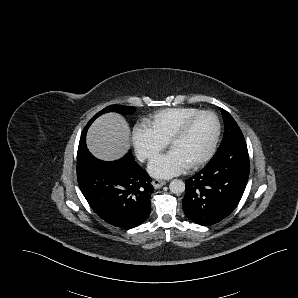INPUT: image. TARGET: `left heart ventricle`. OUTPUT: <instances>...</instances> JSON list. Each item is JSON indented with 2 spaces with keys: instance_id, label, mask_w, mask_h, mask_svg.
Here are the masks:
<instances>
[{
  "instance_id": "1",
  "label": "left heart ventricle",
  "mask_w": 298,
  "mask_h": 298,
  "mask_svg": "<svg viewBox=\"0 0 298 298\" xmlns=\"http://www.w3.org/2000/svg\"><path fill=\"white\" fill-rule=\"evenodd\" d=\"M214 125L209 116L196 119L170 146L185 163L192 164L207 149Z\"/></svg>"
}]
</instances>
